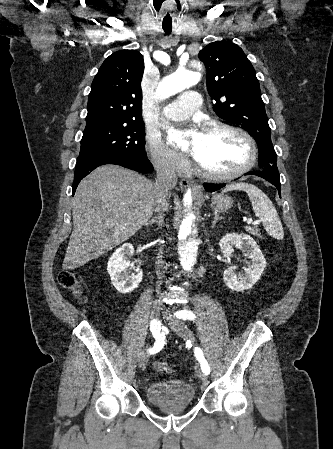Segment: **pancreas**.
Returning <instances> with one entry per match:
<instances>
[{
    "instance_id": "obj_1",
    "label": "pancreas",
    "mask_w": 333,
    "mask_h": 449,
    "mask_svg": "<svg viewBox=\"0 0 333 449\" xmlns=\"http://www.w3.org/2000/svg\"><path fill=\"white\" fill-rule=\"evenodd\" d=\"M247 231L250 233V234H252V235H254V236H257V237H261V235H260V232H259V229L258 228H256V227H248L247 228Z\"/></svg>"
}]
</instances>
